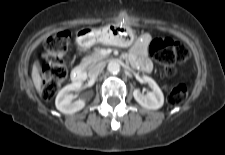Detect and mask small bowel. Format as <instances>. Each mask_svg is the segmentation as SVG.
<instances>
[{"label":"small bowel","instance_id":"1","mask_svg":"<svg viewBox=\"0 0 225 155\" xmlns=\"http://www.w3.org/2000/svg\"><path fill=\"white\" fill-rule=\"evenodd\" d=\"M148 38L136 42L127 55L130 63L144 72H151L153 65L147 55Z\"/></svg>","mask_w":225,"mask_h":155}]
</instances>
